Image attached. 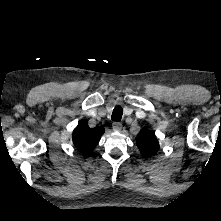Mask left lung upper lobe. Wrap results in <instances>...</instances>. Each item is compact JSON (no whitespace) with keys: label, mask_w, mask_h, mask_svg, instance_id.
Segmentation results:
<instances>
[{"label":"left lung upper lobe","mask_w":221,"mask_h":221,"mask_svg":"<svg viewBox=\"0 0 221 221\" xmlns=\"http://www.w3.org/2000/svg\"><path fill=\"white\" fill-rule=\"evenodd\" d=\"M136 143L141 154L147 158L153 156L159 149L158 140L154 134L148 130L137 135Z\"/></svg>","instance_id":"1"}]
</instances>
